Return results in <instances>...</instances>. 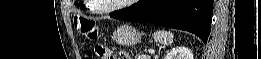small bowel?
<instances>
[{
  "label": "small bowel",
  "instance_id": "obj_1",
  "mask_svg": "<svg viewBox=\"0 0 261 59\" xmlns=\"http://www.w3.org/2000/svg\"><path fill=\"white\" fill-rule=\"evenodd\" d=\"M120 58H122V59H130V56L128 55V53L122 51L121 55H120Z\"/></svg>",
  "mask_w": 261,
  "mask_h": 59
}]
</instances>
